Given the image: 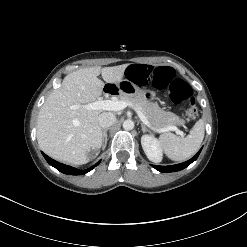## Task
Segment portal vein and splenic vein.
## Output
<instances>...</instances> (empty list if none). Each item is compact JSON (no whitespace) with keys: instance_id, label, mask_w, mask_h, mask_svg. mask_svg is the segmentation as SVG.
<instances>
[{"instance_id":"1","label":"portal vein and splenic vein","mask_w":247,"mask_h":247,"mask_svg":"<svg viewBox=\"0 0 247 247\" xmlns=\"http://www.w3.org/2000/svg\"><path fill=\"white\" fill-rule=\"evenodd\" d=\"M127 106H131V104H129L125 101H120V100H98V101L83 105V107L87 110H108V111H120V110L126 108ZM72 108H78V106L75 105ZM135 109L137 111V114H138L140 120L145 125H147L148 127L154 129L151 126V124L149 123L146 116L143 114V112L137 108H135ZM154 130H156L159 133L168 132V131H175L178 135L184 136V133L174 125H171V126H168L165 128H161V129H154Z\"/></svg>"}]
</instances>
